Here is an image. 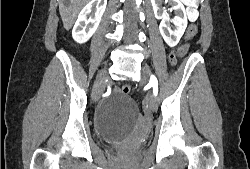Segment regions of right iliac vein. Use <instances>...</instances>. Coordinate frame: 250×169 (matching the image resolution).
<instances>
[{
    "label": "right iliac vein",
    "instance_id": "right-iliac-vein-1",
    "mask_svg": "<svg viewBox=\"0 0 250 169\" xmlns=\"http://www.w3.org/2000/svg\"><path fill=\"white\" fill-rule=\"evenodd\" d=\"M105 78H107L106 72H101L100 75L98 76V78L96 79L95 83H94V88H93V91H92V98H93L94 101H97L100 93L104 89V79Z\"/></svg>",
    "mask_w": 250,
    "mask_h": 169
}]
</instances>
